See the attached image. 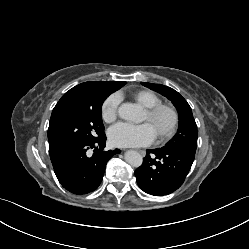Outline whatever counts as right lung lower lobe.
I'll list each match as a JSON object with an SVG mask.
<instances>
[{
    "mask_svg": "<svg viewBox=\"0 0 249 249\" xmlns=\"http://www.w3.org/2000/svg\"><path fill=\"white\" fill-rule=\"evenodd\" d=\"M105 134L97 140L70 145L50 154L57 179L73 194L82 195L94 191L100 185L106 163L119 149L103 151ZM93 155L90 156V151Z\"/></svg>",
    "mask_w": 249,
    "mask_h": 249,
    "instance_id": "1",
    "label": "right lung lower lobe"
}]
</instances>
